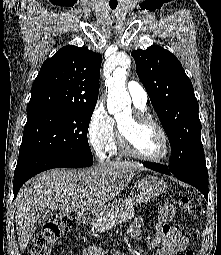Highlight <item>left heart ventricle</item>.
<instances>
[{
	"label": "left heart ventricle",
	"mask_w": 221,
	"mask_h": 255,
	"mask_svg": "<svg viewBox=\"0 0 221 255\" xmlns=\"http://www.w3.org/2000/svg\"><path fill=\"white\" fill-rule=\"evenodd\" d=\"M119 124L131 134L135 148L147 157H158L164 151V142L160 132L152 125L131 124V115H125Z\"/></svg>",
	"instance_id": "b2bd125f"
}]
</instances>
